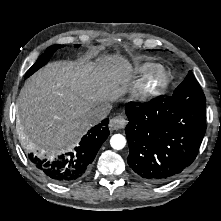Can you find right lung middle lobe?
I'll list each match as a JSON object with an SVG mask.
<instances>
[{"mask_svg":"<svg viewBox=\"0 0 221 221\" xmlns=\"http://www.w3.org/2000/svg\"><path fill=\"white\" fill-rule=\"evenodd\" d=\"M64 45H52L48 47L45 52L38 58V60L35 62V64L28 70L25 78L32 75L35 71H37L39 68L44 66L50 59V57L54 54V52L62 48ZM79 46V45H78Z\"/></svg>","mask_w":221,"mask_h":221,"instance_id":"1","label":"right lung middle lobe"}]
</instances>
